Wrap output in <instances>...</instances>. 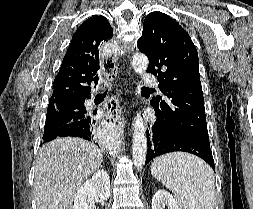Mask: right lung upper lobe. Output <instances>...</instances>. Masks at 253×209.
<instances>
[{
  "label": "right lung upper lobe",
  "mask_w": 253,
  "mask_h": 209,
  "mask_svg": "<svg viewBox=\"0 0 253 209\" xmlns=\"http://www.w3.org/2000/svg\"><path fill=\"white\" fill-rule=\"evenodd\" d=\"M104 16H92L77 29L53 83L48 109L82 102L90 97V85L98 83L99 51L112 38Z\"/></svg>",
  "instance_id": "1"
}]
</instances>
